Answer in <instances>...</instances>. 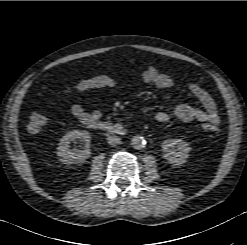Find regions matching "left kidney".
Listing matches in <instances>:
<instances>
[{
  "mask_svg": "<svg viewBox=\"0 0 247 245\" xmlns=\"http://www.w3.org/2000/svg\"><path fill=\"white\" fill-rule=\"evenodd\" d=\"M191 147L182 139H167L162 144L163 157L175 165H182L186 162Z\"/></svg>",
  "mask_w": 247,
  "mask_h": 245,
  "instance_id": "1",
  "label": "left kidney"
}]
</instances>
